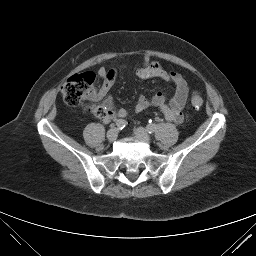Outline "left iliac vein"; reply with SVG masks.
I'll use <instances>...</instances> for the list:
<instances>
[{"instance_id": "1", "label": "left iliac vein", "mask_w": 256, "mask_h": 256, "mask_svg": "<svg viewBox=\"0 0 256 256\" xmlns=\"http://www.w3.org/2000/svg\"><path fill=\"white\" fill-rule=\"evenodd\" d=\"M135 137L147 144H149L151 142V138L150 135L148 134V132L142 128V127H138L135 129L134 131Z\"/></svg>"}]
</instances>
